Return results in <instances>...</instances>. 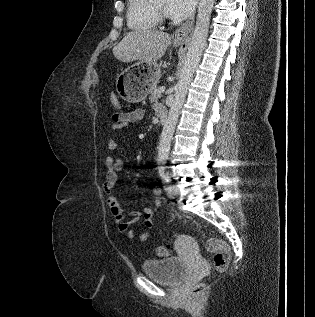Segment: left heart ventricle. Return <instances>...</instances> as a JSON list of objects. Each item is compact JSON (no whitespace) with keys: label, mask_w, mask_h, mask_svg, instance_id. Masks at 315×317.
<instances>
[{"label":"left heart ventricle","mask_w":315,"mask_h":317,"mask_svg":"<svg viewBox=\"0 0 315 317\" xmlns=\"http://www.w3.org/2000/svg\"><path fill=\"white\" fill-rule=\"evenodd\" d=\"M156 7H158L159 9L165 11V7H166V2L165 0H162L161 2L156 4Z\"/></svg>","instance_id":"left-heart-ventricle-1"}]
</instances>
